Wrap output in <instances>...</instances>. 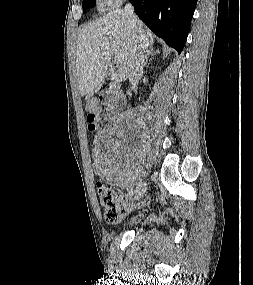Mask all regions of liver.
<instances>
[{"mask_svg":"<svg viewBox=\"0 0 253 285\" xmlns=\"http://www.w3.org/2000/svg\"><path fill=\"white\" fill-rule=\"evenodd\" d=\"M154 43V34L140 20L137 29L130 25L124 10L117 9L89 23L79 34L76 69L79 92H92L106 75L113 55L120 57L114 82L125 81L135 49L145 50Z\"/></svg>","mask_w":253,"mask_h":285,"instance_id":"liver-1","label":"liver"}]
</instances>
